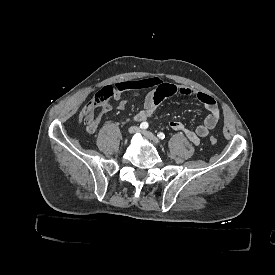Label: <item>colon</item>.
Instances as JSON below:
<instances>
[{"label":"colon","instance_id":"colon-1","mask_svg":"<svg viewBox=\"0 0 275 275\" xmlns=\"http://www.w3.org/2000/svg\"><path fill=\"white\" fill-rule=\"evenodd\" d=\"M108 103L102 99H95L94 103L89 107L85 108L80 114V123L85 124L86 122H95L104 114ZM218 138L214 135L209 137L211 144H216Z\"/></svg>","mask_w":275,"mask_h":275}]
</instances>
